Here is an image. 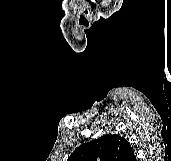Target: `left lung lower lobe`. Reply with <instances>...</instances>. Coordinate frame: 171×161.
<instances>
[{
	"instance_id": "1",
	"label": "left lung lower lobe",
	"mask_w": 171,
	"mask_h": 161,
	"mask_svg": "<svg viewBox=\"0 0 171 161\" xmlns=\"http://www.w3.org/2000/svg\"><path fill=\"white\" fill-rule=\"evenodd\" d=\"M133 161H137V160H136V157H134Z\"/></svg>"
}]
</instances>
